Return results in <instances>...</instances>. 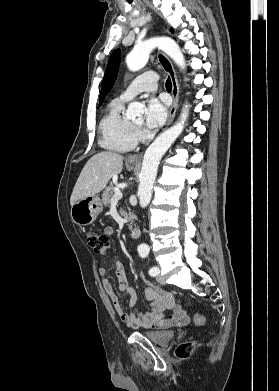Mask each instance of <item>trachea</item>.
<instances>
[{"mask_svg":"<svg viewBox=\"0 0 279 391\" xmlns=\"http://www.w3.org/2000/svg\"><path fill=\"white\" fill-rule=\"evenodd\" d=\"M166 89L167 90H172V83H171L170 77H168V79L166 81Z\"/></svg>","mask_w":279,"mask_h":391,"instance_id":"3493384b","label":"trachea"}]
</instances>
